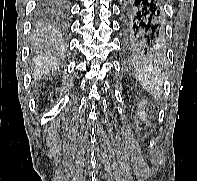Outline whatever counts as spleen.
Masks as SVG:
<instances>
[{"mask_svg": "<svg viewBox=\"0 0 197 181\" xmlns=\"http://www.w3.org/2000/svg\"><path fill=\"white\" fill-rule=\"evenodd\" d=\"M137 80L152 96L160 98L163 79L160 72L152 66L141 67L137 72Z\"/></svg>", "mask_w": 197, "mask_h": 181, "instance_id": "3e777b00", "label": "spleen"}]
</instances>
